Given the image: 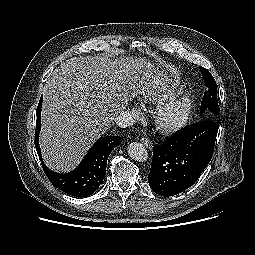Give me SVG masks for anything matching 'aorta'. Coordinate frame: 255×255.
I'll return each mask as SVG.
<instances>
[{
    "label": "aorta",
    "mask_w": 255,
    "mask_h": 255,
    "mask_svg": "<svg viewBox=\"0 0 255 255\" xmlns=\"http://www.w3.org/2000/svg\"><path fill=\"white\" fill-rule=\"evenodd\" d=\"M129 156L138 162H145L148 159L146 148L138 142H133L128 146Z\"/></svg>",
    "instance_id": "obj_1"
}]
</instances>
